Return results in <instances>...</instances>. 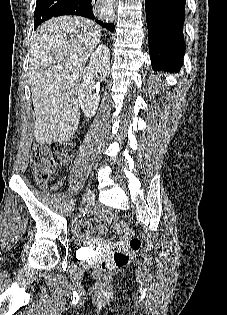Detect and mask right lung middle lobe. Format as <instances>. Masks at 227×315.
I'll return each mask as SVG.
<instances>
[{"mask_svg": "<svg viewBox=\"0 0 227 315\" xmlns=\"http://www.w3.org/2000/svg\"><path fill=\"white\" fill-rule=\"evenodd\" d=\"M70 0H37L34 12V29L54 14Z\"/></svg>", "mask_w": 227, "mask_h": 315, "instance_id": "right-lung-middle-lobe-1", "label": "right lung middle lobe"}]
</instances>
